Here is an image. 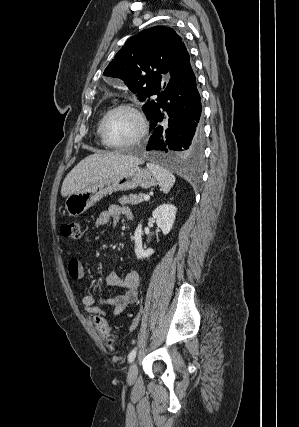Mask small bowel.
Segmentation results:
<instances>
[{
  "mask_svg": "<svg viewBox=\"0 0 299 427\" xmlns=\"http://www.w3.org/2000/svg\"><path fill=\"white\" fill-rule=\"evenodd\" d=\"M122 217L129 220L132 219L133 215L131 210L125 206L111 205L107 210L102 211L97 216L95 226L101 227L109 222L117 223ZM68 274L75 281L82 280L85 275L83 263L78 259L70 260L68 264ZM106 280L110 286L121 288L122 292L112 297L98 300L91 294L85 293L82 296V305L84 310L91 315L116 318L129 304L136 301L140 284V274L136 270L129 271L124 277L116 273H110L107 275ZM103 306L112 307V311H105L102 308Z\"/></svg>",
  "mask_w": 299,
  "mask_h": 427,
  "instance_id": "small-bowel-1",
  "label": "small bowel"
}]
</instances>
